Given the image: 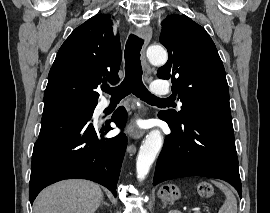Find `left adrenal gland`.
Returning <instances> with one entry per match:
<instances>
[{
  "mask_svg": "<svg viewBox=\"0 0 270 213\" xmlns=\"http://www.w3.org/2000/svg\"><path fill=\"white\" fill-rule=\"evenodd\" d=\"M166 205H167V203L165 202V203L163 204V207H162V208H165V207H166Z\"/></svg>",
  "mask_w": 270,
  "mask_h": 213,
  "instance_id": "a2214340",
  "label": "left adrenal gland"
}]
</instances>
